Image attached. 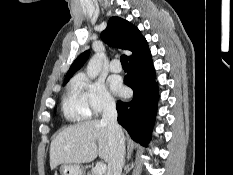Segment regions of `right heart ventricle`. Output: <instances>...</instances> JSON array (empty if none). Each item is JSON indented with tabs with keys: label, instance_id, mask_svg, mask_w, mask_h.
Returning a JSON list of instances; mask_svg holds the SVG:
<instances>
[{
	"label": "right heart ventricle",
	"instance_id": "e07e8e85",
	"mask_svg": "<svg viewBox=\"0 0 233 175\" xmlns=\"http://www.w3.org/2000/svg\"><path fill=\"white\" fill-rule=\"evenodd\" d=\"M62 112L69 121L87 120L91 116L88 105L74 83H71L69 91L62 101Z\"/></svg>",
	"mask_w": 233,
	"mask_h": 175
}]
</instances>
